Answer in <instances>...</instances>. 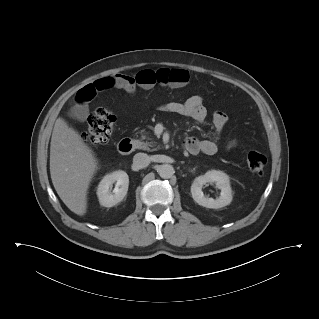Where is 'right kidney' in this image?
I'll use <instances>...</instances> for the list:
<instances>
[{
    "mask_svg": "<svg viewBox=\"0 0 319 319\" xmlns=\"http://www.w3.org/2000/svg\"><path fill=\"white\" fill-rule=\"evenodd\" d=\"M114 183L115 188L112 190ZM128 186L129 177L127 173L122 170L105 175L97 188L99 203L104 207H112L118 204L126 196Z\"/></svg>",
    "mask_w": 319,
    "mask_h": 319,
    "instance_id": "1",
    "label": "right kidney"
}]
</instances>
